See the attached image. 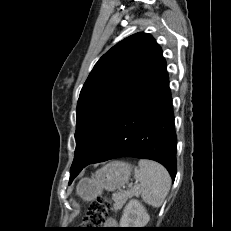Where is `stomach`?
I'll use <instances>...</instances> for the list:
<instances>
[{"instance_id": "obj_1", "label": "stomach", "mask_w": 231, "mask_h": 231, "mask_svg": "<svg viewBox=\"0 0 231 231\" xmlns=\"http://www.w3.org/2000/svg\"><path fill=\"white\" fill-rule=\"evenodd\" d=\"M131 175V167L125 162H111L98 170L92 178H83L77 186V194L85 201H92L103 190L114 191L124 186Z\"/></svg>"}]
</instances>
